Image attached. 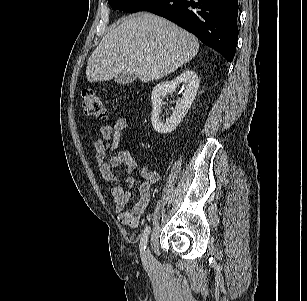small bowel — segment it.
<instances>
[{
  "label": "small bowel",
  "mask_w": 307,
  "mask_h": 301,
  "mask_svg": "<svg viewBox=\"0 0 307 301\" xmlns=\"http://www.w3.org/2000/svg\"><path fill=\"white\" fill-rule=\"evenodd\" d=\"M128 129L129 122L125 117L118 118L113 125L101 126L100 137L93 141V148L102 177L112 183L111 196L115 202V211L118 214L119 222L135 227L150 201L151 186L157 182L158 174L150 171L147 166L140 169L142 181L138 187L139 198L130 210L125 211L124 209L132 197L136 179L134 177L121 178L114 173V169L122 168L123 172L129 175L136 170L137 159L129 150L115 152L108 161H104V158L108 152L117 150L122 133Z\"/></svg>",
  "instance_id": "c3829d8e"
}]
</instances>
